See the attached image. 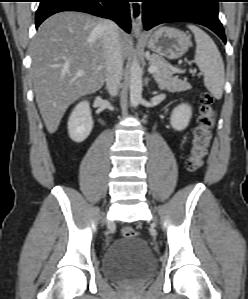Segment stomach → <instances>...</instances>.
<instances>
[{"label": "stomach", "mask_w": 248, "mask_h": 299, "mask_svg": "<svg viewBox=\"0 0 248 299\" xmlns=\"http://www.w3.org/2000/svg\"><path fill=\"white\" fill-rule=\"evenodd\" d=\"M147 47L160 57L176 59L181 57L190 47L189 36L173 27H159L153 31L147 41Z\"/></svg>", "instance_id": "1"}]
</instances>
